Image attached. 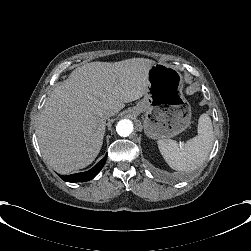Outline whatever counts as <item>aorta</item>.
Wrapping results in <instances>:
<instances>
[{"label":"aorta","mask_w":251,"mask_h":251,"mask_svg":"<svg viewBox=\"0 0 251 251\" xmlns=\"http://www.w3.org/2000/svg\"><path fill=\"white\" fill-rule=\"evenodd\" d=\"M116 130L120 136L127 137L133 131V123L128 119L120 120L117 124Z\"/></svg>","instance_id":"obj_1"}]
</instances>
